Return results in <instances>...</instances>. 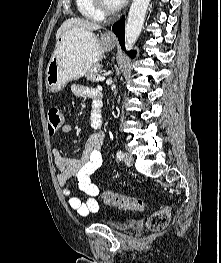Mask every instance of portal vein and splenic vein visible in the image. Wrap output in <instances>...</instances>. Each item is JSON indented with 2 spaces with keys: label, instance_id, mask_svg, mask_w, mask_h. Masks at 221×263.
Instances as JSON below:
<instances>
[{
  "label": "portal vein and splenic vein",
  "instance_id": "18ae733b",
  "mask_svg": "<svg viewBox=\"0 0 221 263\" xmlns=\"http://www.w3.org/2000/svg\"><path fill=\"white\" fill-rule=\"evenodd\" d=\"M97 81H104L105 80V77L104 76H101V75H98L96 77Z\"/></svg>",
  "mask_w": 221,
  "mask_h": 263
}]
</instances>
